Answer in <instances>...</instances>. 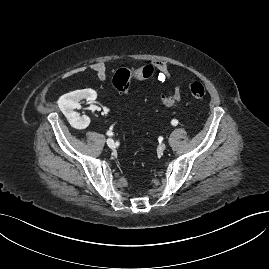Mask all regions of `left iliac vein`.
<instances>
[{"instance_id":"obj_1","label":"left iliac vein","mask_w":269,"mask_h":269,"mask_svg":"<svg viewBox=\"0 0 269 269\" xmlns=\"http://www.w3.org/2000/svg\"><path fill=\"white\" fill-rule=\"evenodd\" d=\"M158 149H159V151H164L165 149H166V145L164 144V143H162V144H160L159 146H158Z\"/></svg>"}]
</instances>
